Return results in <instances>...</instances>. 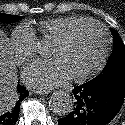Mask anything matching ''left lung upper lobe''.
I'll return each mask as SVG.
<instances>
[{"mask_svg":"<svg viewBox=\"0 0 125 125\" xmlns=\"http://www.w3.org/2000/svg\"><path fill=\"white\" fill-rule=\"evenodd\" d=\"M112 32L114 37L113 52L102 72L89 82H100L118 74L125 73V46L118 32L114 29Z\"/></svg>","mask_w":125,"mask_h":125,"instance_id":"1","label":"left lung upper lobe"}]
</instances>
